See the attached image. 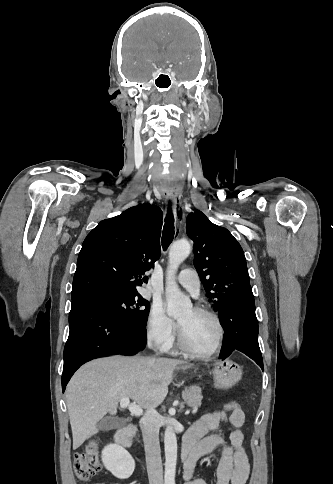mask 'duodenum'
I'll return each mask as SVG.
<instances>
[{"mask_svg": "<svg viewBox=\"0 0 333 484\" xmlns=\"http://www.w3.org/2000/svg\"><path fill=\"white\" fill-rule=\"evenodd\" d=\"M135 425L128 424L125 427L119 429L115 435V441L123 446V447H130L132 444V437L135 433ZM193 444L188 443L183 440L182 448H181V458L184 463V468H186L192 460L193 457Z\"/></svg>", "mask_w": 333, "mask_h": 484, "instance_id": "duodenum-1", "label": "duodenum"}]
</instances>
